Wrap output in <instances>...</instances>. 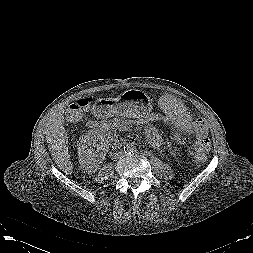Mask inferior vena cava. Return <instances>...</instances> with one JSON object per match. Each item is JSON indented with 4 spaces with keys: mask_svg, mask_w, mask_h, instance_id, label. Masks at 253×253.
<instances>
[{
    "mask_svg": "<svg viewBox=\"0 0 253 253\" xmlns=\"http://www.w3.org/2000/svg\"><path fill=\"white\" fill-rule=\"evenodd\" d=\"M121 156H122V152L116 151L114 153L113 159L117 160V159L121 158Z\"/></svg>",
    "mask_w": 253,
    "mask_h": 253,
    "instance_id": "1",
    "label": "inferior vena cava"
}]
</instances>
